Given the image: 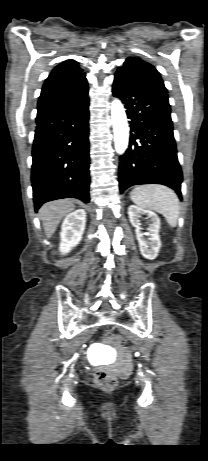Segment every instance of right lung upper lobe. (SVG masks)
Returning <instances> with one entry per match:
<instances>
[{"mask_svg":"<svg viewBox=\"0 0 208 461\" xmlns=\"http://www.w3.org/2000/svg\"><path fill=\"white\" fill-rule=\"evenodd\" d=\"M88 93L85 73L75 60L57 65L43 84L37 114L79 101Z\"/></svg>","mask_w":208,"mask_h":461,"instance_id":"cb5924a9","label":"right lung upper lobe"}]
</instances>
